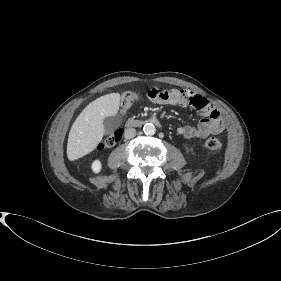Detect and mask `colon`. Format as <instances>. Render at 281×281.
<instances>
[{
    "mask_svg": "<svg viewBox=\"0 0 281 281\" xmlns=\"http://www.w3.org/2000/svg\"><path fill=\"white\" fill-rule=\"evenodd\" d=\"M141 95L137 92H126L121 96L120 105L122 111L125 112L135 101L139 100ZM122 138V131L117 130L113 134L107 136L101 143H99L97 149L102 150L104 148L114 146ZM205 147L210 150H220L223 147L222 142L217 138H209L204 143Z\"/></svg>",
    "mask_w": 281,
    "mask_h": 281,
    "instance_id": "obj_1",
    "label": "colon"
}]
</instances>
